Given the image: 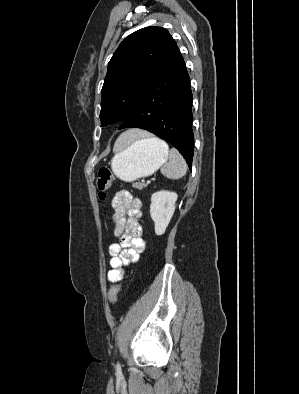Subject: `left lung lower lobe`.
Returning a JSON list of instances; mask_svg holds the SVG:
<instances>
[{"label":"left lung lower lobe","mask_w":299,"mask_h":394,"mask_svg":"<svg viewBox=\"0 0 299 394\" xmlns=\"http://www.w3.org/2000/svg\"><path fill=\"white\" fill-rule=\"evenodd\" d=\"M192 119L190 78L180 55L148 87L119 129L134 127L154 133L177 148L191 170Z\"/></svg>","instance_id":"left-lung-lower-lobe-1"}]
</instances>
